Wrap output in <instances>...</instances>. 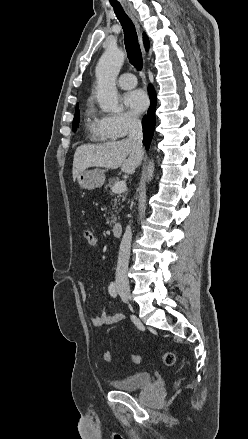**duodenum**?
<instances>
[{
	"mask_svg": "<svg viewBox=\"0 0 248 439\" xmlns=\"http://www.w3.org/2000/svg\"><path fill=\"white\" fill-rule=\"evenodd\" d=\"M123 227H124V225L122 223H120V222L114 223L112 225V233L115 236H120L122 234V232H123Z\"/></svg>",
	"mask_w": 248,
	"mask_h": 439,
	"instance_id": "1",
	"label": "duodenum"
}]
</instances>
